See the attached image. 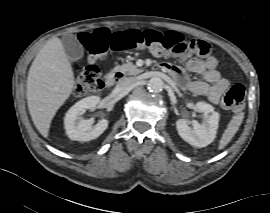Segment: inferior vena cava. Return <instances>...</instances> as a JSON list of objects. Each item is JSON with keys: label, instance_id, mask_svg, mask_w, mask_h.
I'll list each match as a JSON object with an SVG mask.
<instances>
[{"label": "inferior vena cava", "instance_id": "obj_1", "mask_svg": "<svg viewBox=\"0 0 270 213\" xmlns=\"http://www.w3.org/2000/svg\"><path fill=\"white\" fill-rule=\"evenodd\" d=\"M134 83H135L134 78H122L118 81L116 89L119 91H123L132 86Z\"/></svg>", "mask_w": 270, "mask_h": 213}]
</instances>
